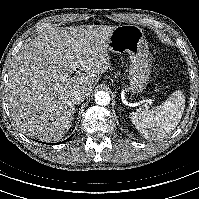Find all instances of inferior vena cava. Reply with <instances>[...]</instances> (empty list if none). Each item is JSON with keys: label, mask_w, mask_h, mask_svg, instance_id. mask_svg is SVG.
I'll return each mask as SVG.
<instances>
[{"label": "inferior vena cava", "mask_w": 199, "mask_h": 199, "mask_svg": "<svg viewBox=\"0 0 199 199\" xmlns=\"http://www.w3.org/2000/svg\"><path fill=\"white\" fill-rule=\"evenodd\" d=\"M86 97L85 91L80 88H74L70 92V98L73 102L79 104L80 102L84 101Z\"/></svg>", "instance_id": "1"}]
</instances>
